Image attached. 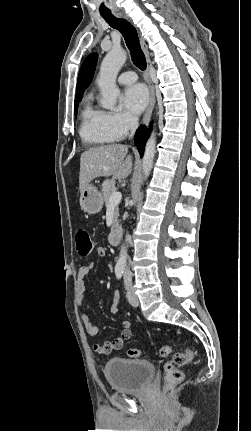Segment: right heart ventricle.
<instances>
[{
    "mask_svg": "<svg viewBox=\"0 0 251 431\" xmlns=\"http://www.w3.org/2000/svg\"><path fill=\"white\" fill-rule=\"evenodd\" d=\"M107 112L97 108L87 99L81 111L80 136L89 144L104 145L116 140L106 122Z\"/></svg>",
    "mask_w": 251,
    "mask_h": 431,
    "instance_id": "1",
    "label": "right heart ventricle"
}]
</instances>
